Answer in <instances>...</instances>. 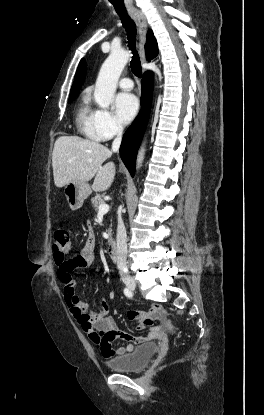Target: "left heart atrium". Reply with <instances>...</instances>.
<instances>
[{"instance_id": "1", "label": "left heart atrium", "mask_w": 264, "mask_h": 415, "mask_svg": "<svg viewBox=\"0 0 264 415\" xmlns=\"http://www.w3.org/2000/svg\"><path fill=\"white\" fill-rule=\"evenodd\" d=\"M115 111L123 123L130 122L138 111V100L131 93H120L115 98Z\"/></svg>"}]
</instances>
